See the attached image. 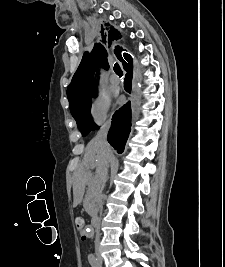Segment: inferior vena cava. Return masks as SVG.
Here are the masks:
<instances>
[{"instance_id":"602c4592","label":"inferior vena cava","mask_w":225,"mask_h":267,"mask_svg":"<svg viewBox=\"0 0 225 267\" xmlns=\"http://www.w3.org/2000/svg\"><path fill=\"white\" fill-rule=\"evenodd\" d=\"M109 130V123H106L97 133L96 137L94 138L95 141L102 147L104 152L106 153L107 162L103 169L98 172L95 181H96V190H97V203L98 208L102 210V190L108 178V162L111 157V149L107 142V134ZM99 244V235L97 234L95 245Z\"/></svg>"}]
</instances>
